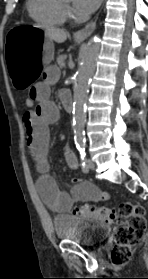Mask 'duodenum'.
<instances>
[{
	"mask_svg": "<svg viewBox=\"0 0 148 279\" xmlns=\"http://www.w3.org/2000/svg\"><path fill=\"white\" fill-rule=\"evenodd\" d=\"M61 100H62V104H63L64 108L68 112H71L73 109V105H72V100L70 99V97H63V98H61Z\"/></svg>",
	"mask_w": 148,
	"mask_h": 279,
	"instance_id": "1",
	"label": "duodenum"
}]
</instances>
